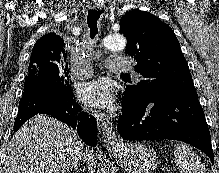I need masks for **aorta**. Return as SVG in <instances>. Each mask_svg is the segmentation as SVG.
I'll use <instances>...</instances> for the list:
<instances>
[{
  "label": "aorta",
  "mask_w": 219,
  "mask_h": 173,
  "mask_svg": "<svg viewBox=\"0 0 219 173\" xmlns=\"http://www.w3.org/2000/svg\"><path fill=\"white\" fill-rule=\"evenodd\" d=\"M101 45L109 51H122L126 47V39L121 34L109 35L102 40Z\"/></svg>",
  "instance_id": "obj_1"
}]
</instances>
